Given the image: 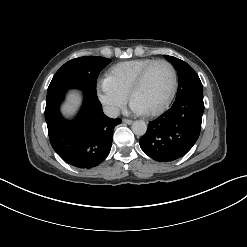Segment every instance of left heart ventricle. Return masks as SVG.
I'll use <instances>...</instances> for the list:
<instances>
[{
    "label": "left heart ventricle",
    "instance_id": "obj_1",
    "mask_svg": "<svg viewBox=\"0 0 247 247\" xmlns=\"http://www.w3.org/2000/svg\"><path fill=\"white\" fill-rule=\"evenodd\" d=\"M172 86V72L165 64L152 68L144 83L138 88L132 100L139 104L145 112L160 106L167 98Z\"/></svg>",
    "mask_w": 247,
    "mask_h": 247
}]
</instances>
